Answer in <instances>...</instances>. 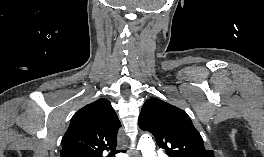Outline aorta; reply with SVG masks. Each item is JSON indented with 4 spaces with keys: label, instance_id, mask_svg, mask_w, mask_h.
<instances>
[{
    "label": "aorta",
    "instance_id": "1",
    "mask_svg": "<svg viewBox=\"0 0 264 157\" xmlns=\"http://www.w3.org/2000/svg\"><path fill=\"white\" fill-rule=\"evenodd\" d=\"M138 147L141 150L143 157H155V146L150 137H142L139 141Z\"/></svg>",
    "mask_w": 264,
    "mask_h": 157
}]
</instances>
